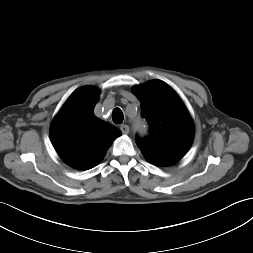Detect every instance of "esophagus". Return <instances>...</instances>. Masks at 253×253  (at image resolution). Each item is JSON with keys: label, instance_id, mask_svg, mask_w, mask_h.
<instances>
[{"label": "esophagus", "instance_id": "esophagus-1", "mask_svg": "<svg viewBox=\"0 0 253 253\" xmlns=\"http://www.w3.org/2000/svg\"><path fill=\"white\" fill-rule=\"evenodd\" d=\"M120 130L123 134H128L129 133V126L128 125H121Z\"/></svg>", "mask_w": 253, "mask_h": 253}]
</instances>
